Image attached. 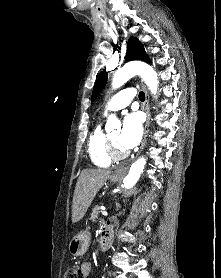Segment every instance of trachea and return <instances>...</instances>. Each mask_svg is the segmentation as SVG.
Wrapping results in <instances>:
<instances>
[{
    "label": "trachea",
    "instance_id": "obj_1",
    "mask_svg": "<svg viewBox=\"0 0 221 278\" xmlns=\"http://www.w3.org/2000/svg\"><path fill=\"white\" fill-rule=\"evenodd\" d=\"M139 99H140L141 101H144V100H145V93H144V92H140V93H139Z\"/></svg>",
    "mask_w": 221,
    "mask_h": 278
}]
</instances>
